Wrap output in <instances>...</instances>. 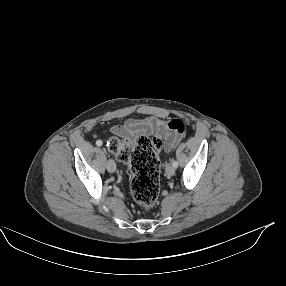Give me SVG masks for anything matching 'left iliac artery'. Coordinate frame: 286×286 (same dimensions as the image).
Instances as JSON below:
<instances>
[{
	"label": "left iliac artery",
	"instance_id": "obj_1",
	"mask_svg": "<svg viewBox=\"0 0 286 286\" xmlns=\"http://www.w3.org/2000/svg\"><path fill=\"white\" fill-rule=\"evenodd\" d=\"M172 166H173L174 168H177V167H178V162H177V161H172Z\"/></svg>",
	"mask_w": 286,
	"mask_h": 286
}]
</instances>
